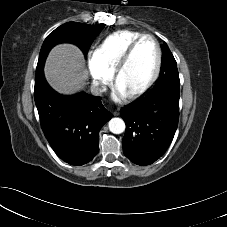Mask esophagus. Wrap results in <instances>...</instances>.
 <instances>
[{"instance_id":"obj_1","label":"esophagus","mask_w":227,"mask_h":227,"mask_svg":"<svg viewBox=\"0 0 227 227\" xmlns=\"http://www.w3.org/2000/svg\"><path fill=\"white\" fill-rule=\"evenodd\" d=\"M118 114H119V110L118 109L113 111V115L117 116Z\"/></svg>"}]
</instances>
